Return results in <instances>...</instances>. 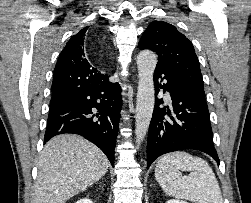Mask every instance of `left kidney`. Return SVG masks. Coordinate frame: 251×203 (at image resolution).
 Returning <instances> with one entry per match:
<instances>
[{"mask_svg":"<svg viewBox=\"0 0 251 203\" xmlns=\"http://www.w3.org/2000/svg\"><path fill=\"white\" fill-rule=\"evenodd\" d=\"M166 203H188V202L182 201L179 199H171V200H168Z\"/></svg>","mask_w":251,"mask_h":203,"instance_id":"1","label":"left kidney"}]
</instances>
